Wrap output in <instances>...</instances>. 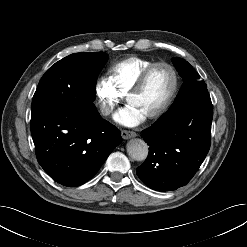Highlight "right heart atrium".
Wrapping results in <instances>:
<instances>
[{"mask_svg":"<svg viewBox=\"0 0 247 247\" xmlns=\"http://www.w3.org/2000/svg\"><path fill=\"white\" fill-rule=\"evenodd\" d=\"M93 93L97 109L103 117H109L123 101V96L105 78L96 80Z\"/></svg>","mask_w":247,"mask_h":247,"instance_id":"d8ad5b80","label":"right heart atrium"}]
</instances>
